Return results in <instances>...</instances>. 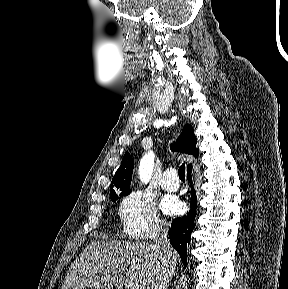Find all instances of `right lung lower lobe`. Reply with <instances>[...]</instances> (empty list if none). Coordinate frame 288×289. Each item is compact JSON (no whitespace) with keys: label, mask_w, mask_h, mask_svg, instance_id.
Listing matches in <instances>:
<instances>
[{"label":"right lung lower lobe","mask_w":288,"mask_h":289,"mask_svg":"<svg viewBox=\"0 0 288 289\" xmlns=\"http://www.w3.org/2000/svg\"><path fill=\"white\" fill-rule=\"evenodd\" d=\"M188 180L192 184L191 167L188 169ZM197 200L195 192L191 191L190 211L183 217L175 218L172 221L169 239L171 245L179 253L183 265H187V246L191 240V233L194 229V220L196 215Z\"/></svg>","instance_id":"obj_1"}]
</instances>
